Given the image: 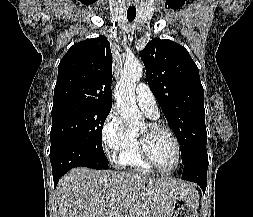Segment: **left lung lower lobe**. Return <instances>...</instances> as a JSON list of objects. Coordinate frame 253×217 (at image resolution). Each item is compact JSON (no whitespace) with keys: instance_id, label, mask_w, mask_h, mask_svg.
<instances>
[{"instance_id":"left-lung-lower-lobe-1","label":"left lung lower lobe","mask_w":253,"mask_h":217,"mask_svg":"<svg viewBox=\"0 0 253 217\" xmlns=\"http://www.w3.org/2000/svg\"><path fill=\"white\" fill-rule=\"evenodd\" d=\"M208 169L207 151L193 154L183 165L182 179L192 181L200 185L203 192L206 189V176Z\"/></svg>"}]
</instances>
